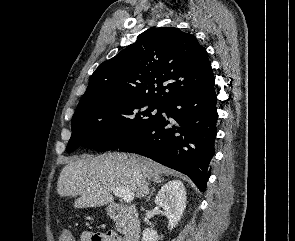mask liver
I'll list each match as a JSON object with an SVG mask.
<instances>
[{
	"mask_svg": "<svg viewBox=\"0 0 295 241\" xmlns=\"http://www.w3.org/2000/svg\"><path fill=\"white\" fill-rule=\"evenodd\" d=\"M170 170L139 155L108 153L70 160L62 169L57 193L62 197L80 196L75 208L103 206L114 201L117 187L130 190L141 198L149 193V181ZM148 180V181H147Z\"/></svg>",
	"mask_w": 295,
	"mask_h": 241,
	"instance_id": "liver-1",
	"label": "liver"
}]
</instances>
